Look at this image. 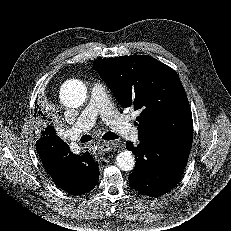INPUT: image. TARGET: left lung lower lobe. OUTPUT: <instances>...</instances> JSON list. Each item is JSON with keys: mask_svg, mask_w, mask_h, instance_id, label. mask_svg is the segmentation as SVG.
<instances>
[{"mask_svg": "<svg viewBox=\"0 0 231 231\" xmlns=\"http://www.w3.org/2000/svg\"><path fill=\"white\" fill-rule=\"evenodd\" d=\"M126 148L136 157V166L129 176L130 184L140 193L159 197L173 189L182 177L190 151L171 149L156 141H140Z\"/></svg>", "mask_w": 231, "mask_h": 231, "instance_id": "1", "label": "left lung lower lobe"}]
</instances>
